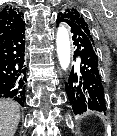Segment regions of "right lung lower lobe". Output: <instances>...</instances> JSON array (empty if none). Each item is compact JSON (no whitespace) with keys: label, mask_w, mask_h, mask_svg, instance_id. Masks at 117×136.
Segmentation results:
<instances>
[{"label":"right lung lower lobe","mask_w":117,"mask_h":136,"mask_svg":"<svg viewBox=\"0 0 117 136\" xmlns=\"http://www.w3.org/2000/svg\"><path fill=\"white\" fill-rule=\"evenodd\" d=\"M24 24L22 22L0 43V98H13L24 106L26 88Z\"/></svg>","instance_id":"right-lung-lower-lobe-1"}]
</instances>
